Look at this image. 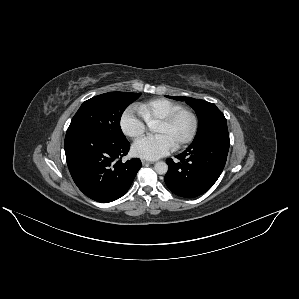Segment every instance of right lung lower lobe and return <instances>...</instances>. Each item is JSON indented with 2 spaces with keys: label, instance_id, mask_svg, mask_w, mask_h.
Listing matches in <instances>:
<instances>
[{
  "label": "right lung lower lobe",
  "instance_id": "obj_1",
  "mask_svg": "<svg viewBox=\"0 0 299 299\" xmlns=\"http://www.w3.org/2000/svg\"><path fill=\"white\" fill-rule=\"evenodd\" d=\"M130 148L128 140L117 141L94 130L67 132L64 149L70 174L89 198L107 203L122 197L130 188L142 164L121 159Z\"/></svg>",
  "mask_w": 299,
  "mask_h": 299
}]
</instances>
